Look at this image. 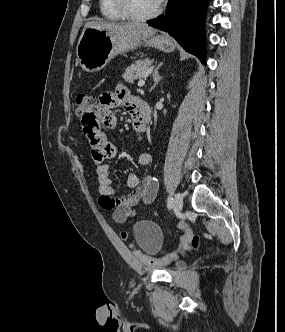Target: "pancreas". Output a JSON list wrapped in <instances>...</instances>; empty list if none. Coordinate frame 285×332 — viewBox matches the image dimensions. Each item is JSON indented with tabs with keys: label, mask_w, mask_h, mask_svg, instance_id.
Masks as SVG:
<instances>
[{
	"label": "pancreas",
	"mask_w": 285,
	"mask_h": 332,
	"mask_svg": "<svg viewBox=\"0 0 285 332\" xmlns=\"http://www.w3.org/2000/svg\"><path fill=\"white\" fill-rule=\"evenodd\" d=\"M151 64L152 60L150 59L136 61L125 70L123 79L128 83H133L134 80L143 78Z\"/></svg>",
	"instance_id": "pancreas-1"
}]
</instances>
